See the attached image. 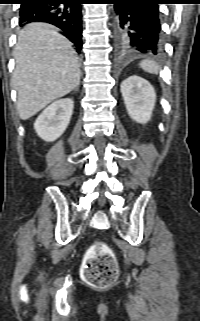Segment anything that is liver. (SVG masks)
<instances>
[{
  "mask_svg": "<svg viewBox=\"0 0 200 321\" xmlns=\"http://www.w3.org/2000/svg\"><path fill=\"white\" fill-rule=\"evenodd\" d=\"M12 84L22 120L37 114L80 83V65L71 42L51 25L31 23L18 35Z\"/></svg>",
  "mask_w": 200,
  "mask_h": 321,
  "instance_id": "liver-1",
  "label": "liver"
}]
</instances>
